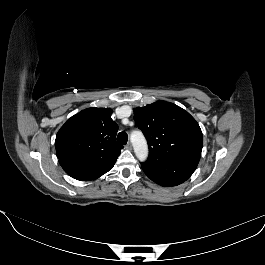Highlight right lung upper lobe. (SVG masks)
Listing matches in <instances>:
<instances>
[{
    "instance_id": "cb5924a9",
    "label": "right lung upper lobe",
    "mask_w": 265,
    "mask_h": 265,
    "mask_svg": "<svg viewBox=\"0 0 265 265\" xmlns=\"http://www.w3.org/2000/svg\"><path fill=\"white\" fill-rule=\"evenodd\" d=\"M111 109L88 108L69 118L58 131L55 147L59 163L71 177L102 176L112 169L122 145Z\"/></svg>"
}]
</instances>
